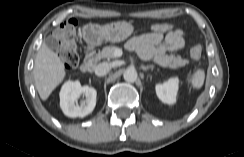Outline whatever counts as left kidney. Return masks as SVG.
Returning <instances> with one entry per match:
<instances>
[{
  "label": "left kidney",
  "mask_w": 244,
  "mask_h": 157,
  "mask_svg": "<svg viewBox=\"0 0 244 157\" xmlns=\"http://www.w3.org/2000/svg\"><path fill=\"white\" fill-rule=\"evenodd\" d=\"M178 78H171L167 82L157 84L156 94L158 98L167 104H173L176 102V95L178 90Z\"/></svg>",
  "instance_id": "1"
}]
</instances>
